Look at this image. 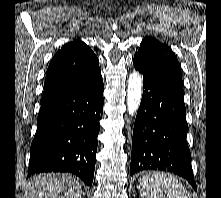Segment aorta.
<instances>
[{
  "label": "aorta",
  "mask_w": 221,
  "mask_h": 198,
  "mask_svg": "<svg viewBox=\"0 0 221 198\" xmlns=\"http://www.w3.org/2000/svg\"><path fill=\"white\" fill-rule=\"evenodd\" d=\"M142 98V77L139 72L133 71L128 79L127 109L130 115L136 113Z\"/></svg>",
  "instance_id": "1"
}]
</instances>
